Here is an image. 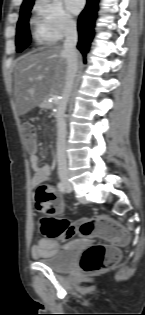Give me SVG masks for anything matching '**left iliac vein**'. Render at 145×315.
Returning a JSON list of instances; mask_svg holds the SVG:
<instances>
[{"instance_id":"4c4485c4","label":"left iliac vein","mask_w":145,"mask_h":315,"mask_svg":"<svg viewBox=\"0 0 145 315\" xmlns=\"http://www.w3.org/2000/svg\"><path fill=\"white\" fill-rule=\"evenodd\" d=\"M66 187H67V190L68 191H71L72 190V186H71V184L70 183H66Z\"/></svg>"}]
</instances>
